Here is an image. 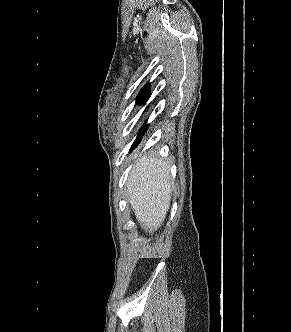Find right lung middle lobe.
Returning <instances> with one entry per match:
<instances>
[{
  "label": "right lung middle lobe",
  "mask_w": 291,
  "mask_h": 332,
  "mask_svg": "<svg viewBox=\"0 0 291 332\" xmlns=\"http://www.w3.org/2000/svg\"><path fill=\"white\" fill-rule=\"evenodd\" d=\"M146 97H141V98H137V100H136V104H143L145 101H146Z\"/></svg>",
  "instance_id": "obj_1"
}]
</instances>
